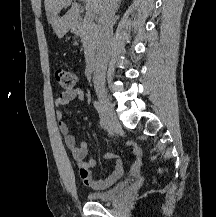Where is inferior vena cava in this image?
Here are the masks:
<instances>
[{"label":"inferior vena cava","instance_id":"1","mask_svg":"<svg viewBox=\"0 0 216 217\" xmlns=\"http://www.w3.org/2000/svg\"><path fill=\"white\" fill-rule=\"evenodd\" d=\"M117 3L118 0H103L99 11L98 42L93 75L95 87H104L105 84L107 62L112 42L113 23L117 10Z\"/></svg>","mask_w":216,"mask_h":217}]
</instances>
